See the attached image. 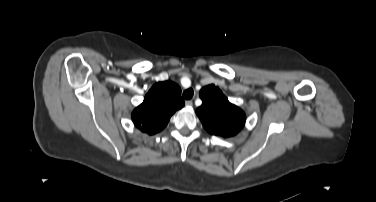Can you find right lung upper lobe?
<instances>
[{
    "mask_svg": "<svg viewBox=\"0 0 376 202\" xmlns=\"http://www.w3.org/2000/svg\"><path fill=\"white\" fill-rule=\"evenodd\" d=\"M184 106L180 87L171 82H158L146 94L144 101L133 110L134 125L149 135L163 130L170 117Z\"/></svg>",
    "mask_w": 376,
    "mask_h": 202,
    "instance_id": "right-lung-upper-lobe-1",
    "label": "right lung upper lobe"
}]
</instances>
